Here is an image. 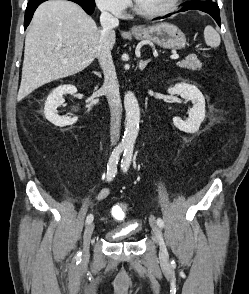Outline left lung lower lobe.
Segmentation results:
<instances>
[{"mask_svg":"<svg viewBox=\"0 0 249 294\" xmlns=\"http://www.w3.org/2000/svg\"><path fill=\"white\" fill-rule=\"evenodd\" d=\"M192 9L201 10L203 12L210 14L215 19L217 24L221 26L219 7L212 0L187 2L186 5L180 10V12L192 10ZM169 16L170 15H167L162 18L169 17Z\"/></svg>","mask_w":249,"mask_h":294,"instance_id":"0a47b994","label":"left lung lower lobe"}]
</instances>
